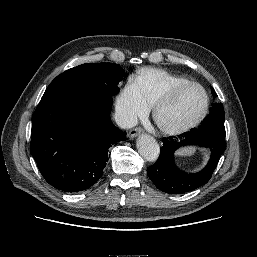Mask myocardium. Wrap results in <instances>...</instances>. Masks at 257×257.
<instances>
[{
    "mask_svg": "<svg viewBox=\"0 0 257 257\" xmlns=\"http://www.w3.org/2000/svg\"><path fill=\"white\" fill-rule=\"evenodd\" d=\"M190 87H198L202 90L204 94V105L200 110V112L197 114V116L194 119H192L187 123H184L181 125H175V126H170L165 124L160 118V112L162 108L170 104L181 91ZM209 105H210V99L206 89L201 84L190 81V82H186V83L174 86L164 96H162L155 103L153 107V118L155 123L163 133L170 136H176V135L187 133L192 129L196 128L207 115L209 110Z\"/></svg>",
    "mask_w": 257,
    "mask_h": 257,
    "instance_id": "obj_1",
    "label": "myocardium"
}]
</instances>
